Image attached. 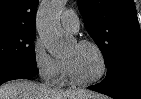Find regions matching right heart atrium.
I'll return each mask as SVG.
<instances>
[{"instance_id":"d8ad5b80","label":"right heart atrium","mask_w":141,"mask_h":99,"mask_svg":"<svg viewBox=\"0 0 141 99\" xmlns=\"http://www.w3.org/2000/svg\"><path fill=\"white\" fill-rule=\"evenodd\" d=\"M32 58L42 80L47 83L56 82L61 72L60 61L49 54L43 41L39 38L33 43Z\"/></svg>"}]
</instances>
